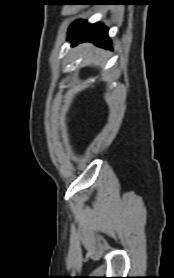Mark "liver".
I'll return each instance as SVG.
<instances>
[{"instance_id": "6515ba94", "label": "liver", "mask_w": 174, "mask_h": 278, "mask_svg": "<svg viewBox=\"0 0 174 278\" xmlns=\"http://www.w3.org/2000/svg\"><path fill=\"white\" fill-rule=\"evenodd\" d=\"M86 64H89V65H97L98 63H97L96 61H94V60H89V59H87V60H86Z\"/></svg>"}]
</instances>
